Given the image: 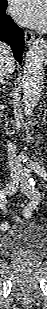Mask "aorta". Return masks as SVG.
Returning <instances> with one entry per match:
<instances>
[{"instance_id":"aorta-1","label":"aorta","mask_w":47,"mask_h":309,"mask_svg":"<svg viewBox=\"0 0 47 309\" xmlns=\"http://www.w3.org/2000/svg\"><path fill=\"white\" fill-rule=\"evenodd\" d=\"M45 66L46 43L43 38H38L26 53L23 67V102L26 114L32 113L41 97Z\"/></svg>"}]
</instances>
